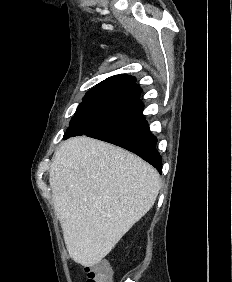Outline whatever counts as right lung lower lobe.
<instances>
[{
  "instance_id": "1",
  "label": "right lung lower lobe",
  "mask_w": 232,
  "mask_h": 282,
  "mask_svg": "<svg viewBox=\"0 0 232 282\" xmlns=\"http://www.w3.org/2000/svg\"><path fill=\"white\" fill-rule=\"evenodd\" d=\"M89 137L127 149L162 172V158L156 149L157 138L150 132L145 118L121 128L93 133Z\"/></svg>"
}]
</instances>
